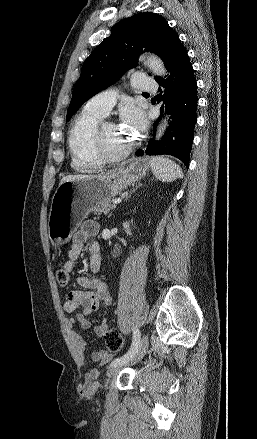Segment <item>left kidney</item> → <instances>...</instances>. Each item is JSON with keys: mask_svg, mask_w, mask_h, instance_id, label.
Masks as SVG:
<instances>
[{"mask_svg": "<svg viewBox=\"0 0 257 439\" xmlns=\"http://www.w3.org/2000/svg\"><path fill=\"white\" fill-rule=\"evenodd\" d=\"M123 227H124L125 231L127 232V234L131 235V231L129 229V223L128 222L123 223Z\"/></svg>", "mask_w": 257, "mask_h": 439, "instance_id": "1", "label": "left kidney"}]
</instances>
